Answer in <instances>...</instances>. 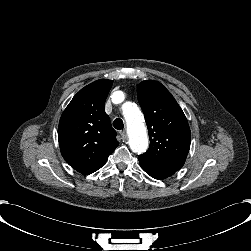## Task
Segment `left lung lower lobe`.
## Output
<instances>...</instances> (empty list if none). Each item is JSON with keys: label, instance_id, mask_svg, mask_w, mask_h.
Returning <instances> with one entry per match:
<instances>
[{"label": "left lung lower lobe", "instance_id": "left-lung-lower-lobe-1", "mask_svg": "<svg viewBox=\"0 0 251 251\" xmlns=\"http://www.w3.org/2000/svg\"><path fill=\"white\" fill-rule=\"evenodd\" d=\"M139 162H140L141 168L147 174H149L151 177L158 179V180L165 179V178L173 175L176 172L171 169L161 167L150 160L142 158L141 156H139Z\"/></svg>", "mask_w": 251, "mask_h": 251}]
</instances>
